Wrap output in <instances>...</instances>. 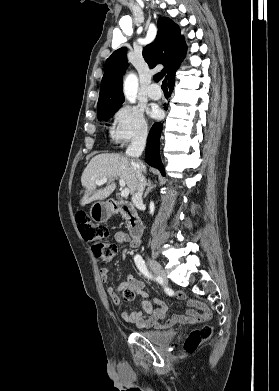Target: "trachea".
Masks as SVG:
<instances>
[{"label": "trachea", "instance_id": "3493384b", "mask_svg": "<svg viewBox=\"0 0 279 391\" xmlns=\"http://www.w3.org/2000/svg\"><path fill=\"white\" fill-rule=\"evenodd\" d=\"M161 88H162L163 91H168V88H167V77L163 80Z\"/></svg>", "mask_w": 279, "mask_h": 391}]
</instances>
